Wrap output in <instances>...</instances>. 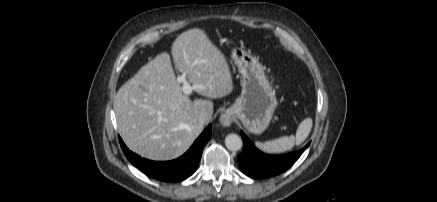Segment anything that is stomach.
Wrapping results in <instances>:
<instances>
[{"instance_id":"stomach-1","label":"stomach","mask_w":437,"mask_h":202,"mask_svg":"<svg viewBox=\"0 0 437 202\" xmlns=\"http://www.w3.org/2000/svg\"><path fill=\"white\" fill-rule=\"evenodd\" d=\"M232 58L242 75V90L226 114L237 117L250 133L261 134L268 128L277 106L275 92L256 57L234 48Z\"/></svg>"}]
</instances>
